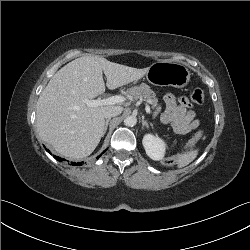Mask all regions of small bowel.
Segmentation results:
<instances>
[{
	"instance_id": "1",
	"label": "small bowel",
	"mask_w": 250,
	"mask_h": 250,
	"mask_svg": "<svg viewBox=\"0 0 250 250\" xmlns=\"http://www.w3.org/2000/svg\"><path fill=\"white\" fill-rule=\"evenodd\" d=\"M163 101L164 109L159 108L157 114L160 120L171 125L176 133L186 134L199 125V120L186 97L167 94Z\"/></svg>"
}]
</instances>
